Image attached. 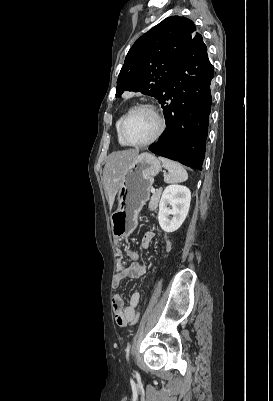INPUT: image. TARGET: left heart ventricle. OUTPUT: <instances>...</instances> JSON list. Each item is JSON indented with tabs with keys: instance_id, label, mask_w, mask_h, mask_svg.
Returning a JSON list of instances; mask_svg holds the SVG:
<instances>
[{
	"instance_id": "b2bd125f",
	"label": "left heart ventricle",
	"mask_w": 273,
	"mask_h": 401,
	"mask_svg": "<svg viewBox=\"0 0 273 401\" xmlns=\"http://www.w3.org/2000/svg\"><path fill=\"white\" fill-rule=\"evenodd\" d=\"M159 127L157 118L148 111L134 113L124 126V137L131 142L150 139Z\"/></svg>"
}]
</instances>
